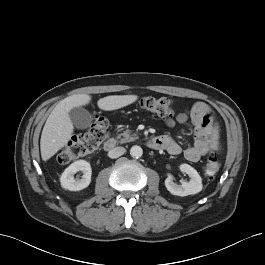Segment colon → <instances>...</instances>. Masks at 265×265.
<instances>
[{
  "mask_svg": "<svg viewBox=\"0 0 265 265\" xmlns=\"http://www.w3.org/2000/svg\"><path fill=\"white\" fill-rule=\"evenodd\" d=\"M141 107L160 117L171 118L174 115L173 101L169 98L145 97L140 102ZM108 134V122L104 117L96 116L87 130L72 138L60 151L57 160L61 164H67L75 159L87 156L95 152ZM220 169L219 159L211 155L204 166L205 174L215 176Z\"/></svg>",
  "mask_w": 265,
  "mask_h": 265,
  "instance_id": "1",
  "label": "colon"
}]
</instances>
